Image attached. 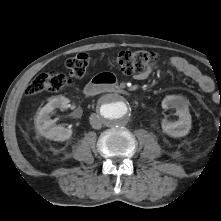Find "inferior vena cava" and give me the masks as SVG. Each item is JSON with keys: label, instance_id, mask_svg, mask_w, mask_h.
Listing matches in <instances>:
<instances>
[{"label": "inferior vena cava", "instance_id": "inferior-vena-cava-1", "mask_svg": "<svg viewBox=\"0 0 221 221\" xmlns=\"http://www.w3.org/2000/svg\"><path fill=\"white\" fill-rule=\"evenodd\" d=\"M90 124L94 129H100L102 127V121L99 115L93 113L90 116Z\"/></svg>", "mask_w": 221, "mask_h": 221}]
</instances>
